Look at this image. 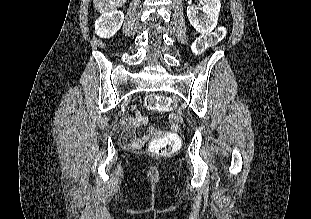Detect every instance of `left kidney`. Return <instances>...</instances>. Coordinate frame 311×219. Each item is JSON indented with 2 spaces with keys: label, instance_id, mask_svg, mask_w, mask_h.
Returning a JSON list of instances; mask_svg holds the SVG:
<instances>
[{
  "label": "left kidney",
  "instance_id": "obj_1",
  "mask_svg": "<svg viewBox=\"0 0 311 219\" xmlns=\"http://www.w3.org/2000/svg\"><path fill=\"white\" fill-rule=\"evenodd\" d=\"M220 0H203V15H200L198 8L187 7V16L191 25L201 34H208L217 26Z\"/></svg>",
  "mask_w": 311,
  "mask_h": 219
}]
</instances>
